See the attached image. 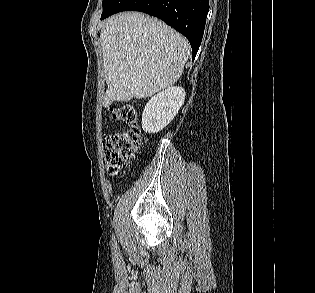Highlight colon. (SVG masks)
<instances>
[{"instance_id": "obj_1", "label": "colon", "mask_w": 315, "mask_h": 293, "mask_svg": "<svg viewBox=\"0 0 315 293\" xmlns=\"http://www.w3.org/2000/svg\"><path fill=\"white\" fill-rule=\"evenodd\" d=\"M109 118L129 126L125 131L103 138L104 158L110 175H117L140 150L143 136L138 125V112L130 105L111 108Z\"/></svg>"}]
</instances>
